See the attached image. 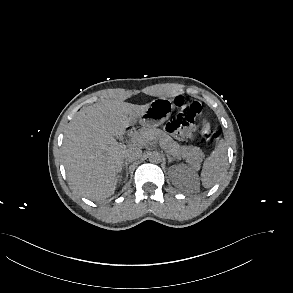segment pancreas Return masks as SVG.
Returning a JSON list of instances; mask_svg holds the SVG:
<instances>
[{
	"mask_svg": "<svg viewBox=\"0 0 293 293\" xmlns=\"http://www.w3.org/2000/svg\"><path fill=\"white\" fill-rule=\"evenodd\" d=\"M136 135L144 136V142L158 140L162 148L176 159L187 158L193 166H199L204 158L200 148L194 146H180L161 129L142 128Z\"/></svg>",
	"mask_w": 293,
	"mask_h": 293,
	"instance_id": "obj_1",
	"label": "pancreas"
}]
</instances>
